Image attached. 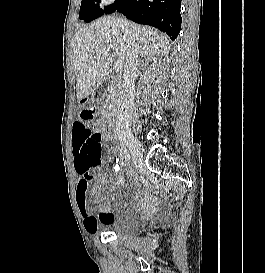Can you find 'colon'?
Here are the masks:
<instances>
[{"label":"colon","instance_id":"5ec220e1","mask_svg":"<svg viewBox=\"0 0 265 273\" xmlns=\"http://www.w3.org/2000/svg\"><path fill=\"white\" fill-rule=\"evenodd\" d=\"M76 150L79 152V168L87 173L100 164L101 134L89 129H76Z\"/></svg>","mask_w":265,"mask_h":273}]
</instances>
